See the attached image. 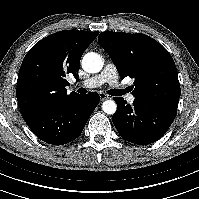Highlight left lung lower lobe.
Segmentation results:
<instances>
[{"instance_id":"0a47b994","label":"left lung lower lobe","mask_w":199,"mask_h":199,"mask_svg":"<svg viewBox=\"0 0 199 199\" xmlns=\"http://www.w3.org/2000/svg\"><path fill=\"white\" fill-rule=\"evenodd\" d=\"M117 110L112 121L122 138L138 144H150L160 139L174 121L177 110L135 98L132 105L123 98H113Z\"/></svg>"}]
</instances>
